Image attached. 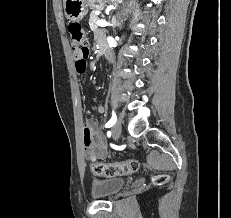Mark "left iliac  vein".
<instances>
[{"instance_id": "left-iliac-vein-1", "label": "left iliac vein", "mask_w": 231, "mask_h": 218, "mask_svg": "<svg viewBox=\"0 0 231 218\" xmlns=\"http://www.w3.org/2000/svg\"><path fill=\"white\" fill-rule=\"evenodd\" d=\"M122 132L121 119L112 127V135L115 139H118Z\"/></svg>"}]
</instances>
